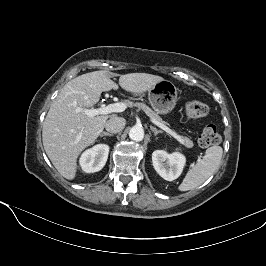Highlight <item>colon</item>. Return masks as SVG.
<instances>
[{
	"instance_id": "colon-1",
	"label": "colon",
	"mask_w": 266,
	"mask_h": 266,
	"mask_svg": "<svg viewBox=\"0 0 266 266\" xmlns=\"http://www.w3.org/2000/svg\"><path fill=\"white\" fill-rule=\"evenodd\" d=\"M185 113L190 119H200L207 115L208 107L206 104L192 100L185 105ZM220 134L214 125H207L202 130L199 136V144L202 147H210L217 145L220 142Z\"/></svg>"
}]
</instances>
